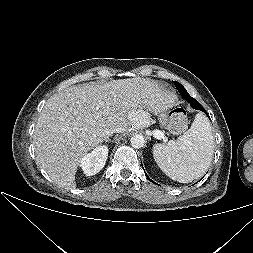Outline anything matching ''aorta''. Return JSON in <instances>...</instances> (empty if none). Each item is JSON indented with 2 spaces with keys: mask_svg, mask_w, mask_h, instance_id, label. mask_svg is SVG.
Instances as JSON below:
<instances>
[{
  "mask_svg": "<svg viewBox=\"0 0 253 253\" xmlns=\"http://www.w3.org/2000/svg\"><path fill=\"white\" fill-rule=\"evenodd\" d=\"M131 146L135 149H140L144 146V137L140 134L133 135L130 139Z\"/></svg>",
  "mask_w": 253,
  "mask_h": 253,
  "instance_id": "1",
  "label": "aorta"
}]
</instances>
